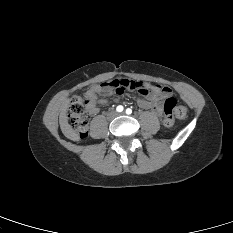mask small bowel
Here are the masks:
<instances>
[{"label": "small bowel", "mask_w": 233, "mask_h": 233, "mask_svg": "<svg viewBox=\"0 0 233 233\" xmlns=\"http://www.w3.org/2000/svg\"><path fill=\"white\" fill-rule=\"evenodd\" d=\"M144 91H140L136 97L138 105L145 109H151L158 117L162 116L163 104L162 99L171 95L172 91L168 86H160L158 84L139 81ZM85 97L88 101V114L95 116L99 112V105H107L111 101L118 102L119 97L115 96V92L104 87V83L91 86L86 92Z\"/></svg>", "instance_id": "c3829d8e"}]
</instances>
